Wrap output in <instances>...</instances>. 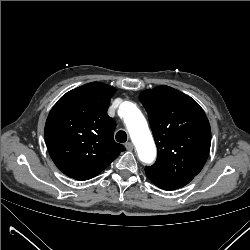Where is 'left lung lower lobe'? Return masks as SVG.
<instances>
[{"mask_svg": "<svg viewBox=\"0 0 250 250\" xmlns=\"http://www.w3.org/2000/svg\"><path fill=\"white\" fill-rule=\"evenodd\" d=\"M146 174L153 184L164 190L178 189L188 184L194 178L193 176H161L148 171H146Z\"/></svg>", "mask_w": 250, "mask_h": 250, "instance_id": "left-lung-lower-lobe-1", "label": "left lung lower lobe"}]
</instances>
